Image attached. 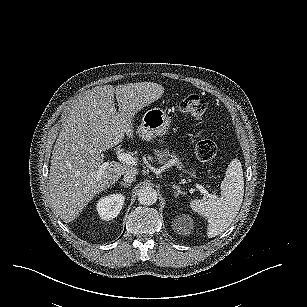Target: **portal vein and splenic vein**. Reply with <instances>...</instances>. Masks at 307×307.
I'll return each mask as SVG.
<instances>
[{"label": "portal vein and splenic vein", "instance_id": "1", "mask_svg": "<svg viewBox=\"0 0 307 307\" xmlns=\"http://www.w3.org/2000/svg\"><path fill=\"white\" fill-rule=\"evenodd\" d=\"M117 159L122 162V163H125L127 165H132V166H135L137 165V158L136 157H133L132 155L128 154V153H119L117 155ZM107 162L103 163L101 166H100V169L101 170H104L106 168V165ZM196 188L204 195V197L206 198H211V199H215L217 198V195H214V194H210L205 188L204 186L200 185V184H196Z\"/></svg>", "mask_w": 307, "mask_h": 307}]
</instances>
